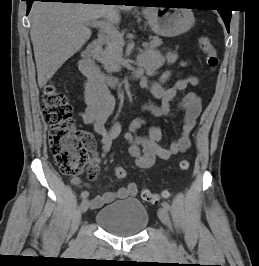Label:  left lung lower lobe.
<instances>
[{
	"instance_id": "left-lung-lower-lobe-1",
	"label": "left lung lower lobe",
	"mask_w": 259,
	"mask_h": 266,
	"mask_svg": "<svg viewBox=\"0 0 259 266\" xmlns=\"http://www.w3.org/2000/svg\"><path fill=\"white\" fill-rule=\"evenodd\" d=\"M144 3H164L161 1H156V2H144ZM169 3V2H166ZM221 13V17L226 25L227 31L229 32V25H230V20H231V11L228 9H220L218 10Z\"/></svg>"
}]
</instances>
